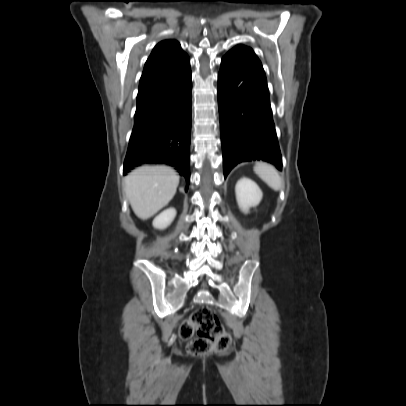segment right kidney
I'll return each mask as SVG.
<instances>
[{
  "mask_svg": "<svg viewBox=\"0 0 406 406\" xmlns=\"http://www.w3.org/2000/svg\"><path fill=\"white\" fill-rule=\"evenodd\" d=\"M175 216L176 210L174 208L166 209L153 220V226L158 229H164L171 224Z\"/></svg>",
  "mask_w": 406,
  "mask_h": 406,
  "instance_id": "obj_1",
  "label": "right kidney"
}]
</instances>
